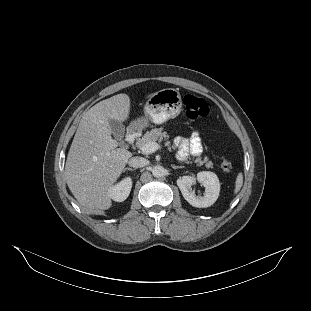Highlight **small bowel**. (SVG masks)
<instances>
[{
    "label": "small bowel",
    "instance_id": "1",
    "mask_svg": "<svg viewBox=\"0 0 311 311\" xmlns=\"http://www.w3.org/2000/svg\"><path fill=\"white\" fill-rule=\"evenodd\" d=\"M177 148V157L181 161L190 156L196 157L202 152V142L198 131H194L189 138L178 137L173 142Z\"/></svg>",
    "mask_w": 311,
    "mask_h": 311
}]
</instances>
